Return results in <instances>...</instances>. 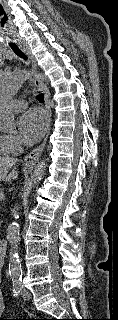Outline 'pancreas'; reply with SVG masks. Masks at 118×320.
Wrapping results in <instances>:
<instances>
[{"label":"pancreas","mask_w":118,"mask_h":320,"mask_svg":"<svg viewBox=\"0 0 118 320\" xmlns=\"http://www.w3.org/2000/svg\"><path fill=\"white\" fill-rule=\"evenodd\" d=\"M0 192H3V188H0Z\"/></svg>","instance_id":"pancreas-1"}]
</instances>
